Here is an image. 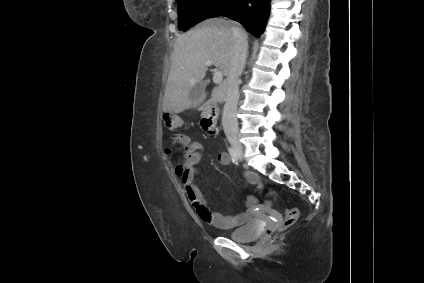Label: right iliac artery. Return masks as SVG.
Returning a JSON list of instances; mask_svg holds the SVG:
<instances>
[{
	"label": "right iliac artery",
	"instance_id": "right-iliac-artery-1",
	"mask_svg": "<svg viewBox=\"0 0 424 283\" xmlns=\"http://www.w3.org/2000/svg\"><path fill=\"white\" fill-rule=\"evenodd\" d=\"M228 152H229V154L231 155V159H232V161H233L234 163H236V162H237V155H236L235 150H234L232 147H230V148L228 149Z\"/></svg>",
	"mask_w": 424,
	"mask_h": 283
}]
</instances>
